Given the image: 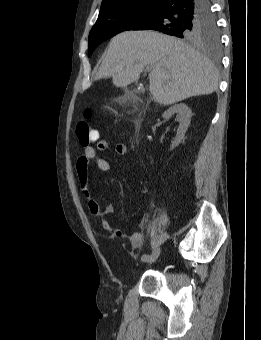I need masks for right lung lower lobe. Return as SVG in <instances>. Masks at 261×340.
<instances>
[{
	"instance_id": "obj_1",
	"label": "right lung lower lobe",
	"mask_w": 261,
	"mask_h": 340,
	"mask_svg": "<svg viewBox=\"0 0 261 340\" xmlns=\"http://www.w3.org/2000/svg\"><path fill=\"white\" fill-rule=\"evenodd\" d=\"M210 12L209 0H162L154 12L131 30H156L182 38L190 19Z\"/></svg>"
}]
</instances>
